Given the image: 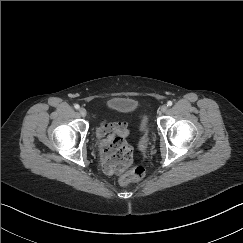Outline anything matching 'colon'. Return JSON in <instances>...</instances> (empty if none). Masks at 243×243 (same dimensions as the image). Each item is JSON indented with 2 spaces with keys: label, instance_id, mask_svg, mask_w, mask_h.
<instances>
[{
  "label": "colon",
  "instance_id": "5ec220e1",
  "mask_svg": "<svg viewBox=\"0 0 243 243\" xmlns=\"http://www.w3.org/2000/svg\"><path fill=\"white\" fill-rule=\"evenodd\" d=\"M146 122L145 120L141 125V130L144 133L147 132ZM125 168L127 169L126 173L119 179V183L122 185L141 180L145 176V171L142 167H131L129 163H126Z\"/></svg>",
  "mask_w": 243,
  "mask_h": 243
}]
</instances>
